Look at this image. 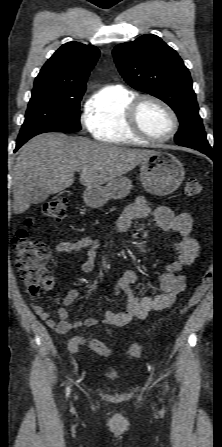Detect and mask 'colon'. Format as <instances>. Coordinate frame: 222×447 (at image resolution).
Returning <instances> with one entry per match:
<instances>
[{
    "label": "colon",
    "instance_id": "5ec220e1",
    "mask_svg": "<svg viewBox=\"0 0 222 447\" xmlns=\"http://www.w3.org/2000/svg\"><path fill=\"white\" fill-rule=\"evenodd\" d=\"M201 191L202 187L197 178L190 177L187 179L185 184V194L187 196H197ZM67 208V199L64 197H57L45 203L43 214L51 220L61 221L66 217ZM32 221L33 219L31 218L27 219L25 226L30 225ZM12 245L15 252V265L18 270L19 278L24 283L29 297L31 299H36L41 288L52 279V274L47 266L51 257L50 247L44 242L32 239L25 227L16 231L12 239ZM214 274V266L212 264L207 265L193 293L182 304L179 310L181 314L186 313L200 302L208 290ZM92 349L98 355L104 357L109 356L111 353L108 345L98 340L94 341ZM127 353L131 358L140 357L142 354V345L139 343L131 344Z\"/></svg>",
    "mask_w": 222,
    "mask_h": 447
}]
</instances>
